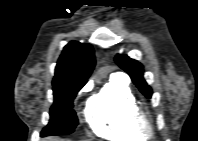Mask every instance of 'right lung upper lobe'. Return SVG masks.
<instances>
[{
    "label": "right lung upper lobe",
    "instance_id": "cb5924a9",
    "mask_svg": "<svg viewBox=\"0 0 198 141\" xmlns=\"http://www.w3.org/2000/svg\"><path fill=\"white\" fill-rule=\"evenodd\" d=\"M94 65L92 45L71 41L64 47L58 60L53 84L86 83Z\"/></svg>",
    "mask_w": 198,
    "mask_h": 141
}]
</instances>
